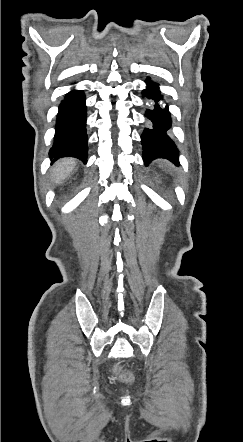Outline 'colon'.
Segmentation results:
<instances>
[{"label":"colon","mask_w":243,"mask_h":442,"mask_svg":"<svg viewBox=\"0 0 243 442\" xmlns=\"http://www.w3.org/2000/svg\"><path fill=\"white\" fill-rule=\"evenodd\" d=\"M114 372L116 374V376L125 383H130L133 380V376L131 373H129L128 371H126L123 368L122 364H117L114 368Z\"/></svg>","instance_id":"obj_1"}]
</instances>
